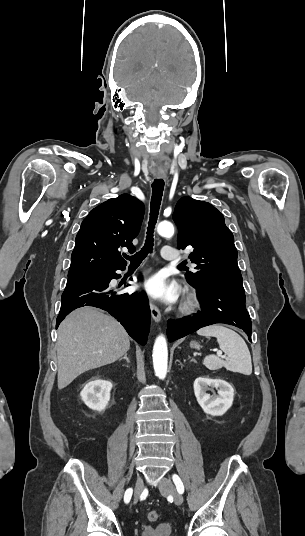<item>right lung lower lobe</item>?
Listing matches in <instances>:
<instances>
[{
    "instance_id": "1",
    "label": "right lung lower lobe",
    "mask_w": 305,
    "mask_h": 536,
    "mask_svg": "<svg viewBox=\"0 0 305 536\" xmlns=\"http://www.w3.org/2000/svg\"><path fill=\"white\" fill-rule=\"evenodd\" d=\"M109 271L104 279H68L62 294V303L56 321V328L64 317L83 306L99 307L109 312L125 327L128 334L139 344L145 345L150 329L151 312L148 300L142 293L116 294L109 288L112 279L119 278L116 270Z\"/></svg>"
}]
</instances>
